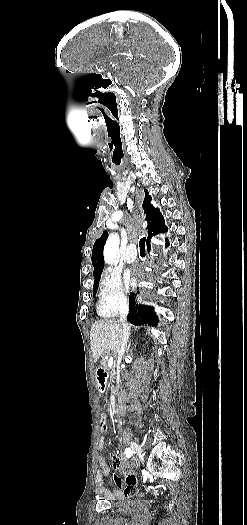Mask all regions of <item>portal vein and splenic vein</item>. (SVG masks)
<instances>
[{
  "mask_svg": "<svg viewBox=\"0 0 247 525\" xmlns=\"http://www.w3.org/2000/svg\"><path fill=\"white\" fill-rule=\"evenodd\" d=\"M113 362H115V357H113V356H109V357L107 358L108 366H113ZM107 383H110V380H107Z\"/></svg>",
  "mask_w": 247,
  "mask_h": 525,
  "instance_id": "18ae733b",
  "label": "portal vein and splenic vein"
}]
</instances>
